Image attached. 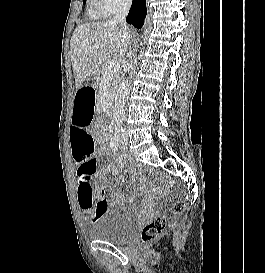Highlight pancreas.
I'll use <instances>...</instances> for the list:
<instances>
[{
  "instance_id": "cf45deb5",
  "label": "pancreas",
  "mask_w": 265,
  "mask_h": 273,
  "mask_svg": "<svg viewBox=\"0 0 265 273\" xmlns=\"http://www.w3.org/2000/svg\"><path fill=\"white\" fill-rule=\"evenodd\" d=\"M111 62V60H107L106 62H104L101 67L98 69L97 73H96V80L95 83L97 85V88H99L103 83H105V85L107 86L109 95L111 96L113 90L115 89V87L117 86V84L120 81V74L119 73H114L112 76L110 77H105V70L107 68V66L109 65V63ZM116 90V89H115ZM115 92V91H114ZM113 92V94H114ZM113 96V95H112Z\"/></svg>"
}]
</instances>
